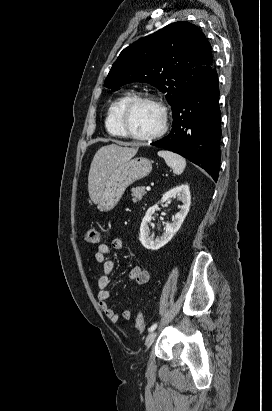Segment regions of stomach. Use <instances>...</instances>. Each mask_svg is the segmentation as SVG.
Here are the masks:
<instances>
[{
  "instance_id": "1",
  "label": "stomach",
  "mask_w": 272,
  "mask_h": 411,
  "mask_svg": "<svg viewBox=\"0 0 272 411\" xmlns=\"http://www.w3.org/2000/svg\"><path fill=\"white\" fill-rule=\"evenodd\" d=\"M152 162L144 157L131 158L117 166L106 181L98 202L102 212L112 210L120 201L126 188L150 174Z\"/></svg>"
}]
</instances>
